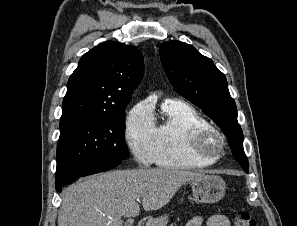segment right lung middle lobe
I'll list each match as a JSON object with an SVG mask.
<instances>
[{
    "label": "right lung middle lobe",
    "mask_w": 297,
    "mask_h": 226,
    "mask_svg": "<svg viewBox=\"0 0 297 226\" xmlns=\"http://www.w3.org/2000/svg\"><path fill=\"white\" fill-rule=\"evenodd\" d=\"M125 112L119 116H76L60 121L57 170L95 160L121 162L129 158Z\"/></svg>",
    "instance_id": "obj_1"
}]
</instances>
